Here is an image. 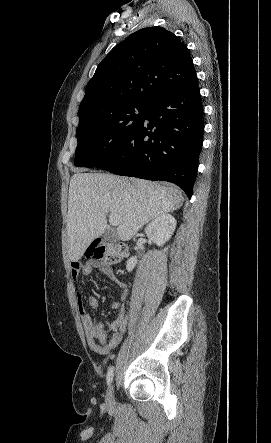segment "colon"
<instances>
[{
	"label": "colon",
	"mask_w": 271,
	"mask_h": 443,
	"mask_svg": "<svg viewBox=\"0 0 271 443\" xmlns=\"http://www.w3.org/2000/svg\"><path fill=\"white\" fill-rule=\"evenodd\" d=\"M127 254V246L121 242H94L87 250V257L100 259L109 265L117 264Z\"/></svg>",
	"instance_id": "1"
}]
</instances>
